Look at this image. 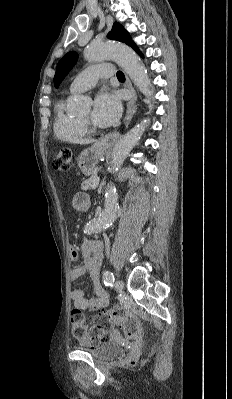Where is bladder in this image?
Returning <instances> with one entry per match:
<instances>
[{
	"instance_id": "31cf9c89",
	"label": "bladder",
	"mask_w": 232,
	"mask_h": 399,
	"mask_svg": "<svg viewBox=\"0 0 232 399\" xmlns=\"http://www.w3.org/2000/svg\"><path fill=\"white\" fill-rule=\"evenodd\" d=\"M89 352L96 359L107 360L119 356L122 348L116 341L108 340L90 349Z\"/></svg>"
}]
</instances>
